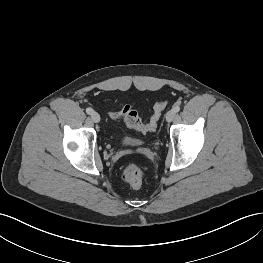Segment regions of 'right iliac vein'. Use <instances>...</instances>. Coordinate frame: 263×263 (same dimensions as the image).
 <instances>
[{"instance_id":"1","label":"right iliac vein","mask_w":263,"mask_h":263,"mask_svg":"<svg viewBox=\"0 0 263 263\" xmlns=\"http://www.w3.org/2000/svg\"><path fill=\"white\" fill-rule=\"evenodd\" d=\"M91 119L93 122L95 123H99L100 122V115L97 112H92L91 113Z\"/></svg>"}]
</instances>
